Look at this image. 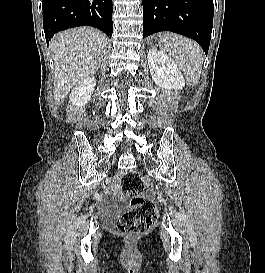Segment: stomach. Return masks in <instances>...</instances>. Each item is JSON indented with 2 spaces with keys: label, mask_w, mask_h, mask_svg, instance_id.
Masks as SVG:
<instances>
[{
  "label": "stomach",
  "mask_w": 265,
  "mask_h": 273,
  "mask_svg": "<svg viewBox=\"0 0 265 273\" xmlns=\"http://www.w3.org/2000/svg\"><path fill=\"white\" fill-rule=\"evenodd\" d=\"M151 45H164V40H151Z\"/></svg>",
  "instance_id": "obj_1"
}]
</instances>
